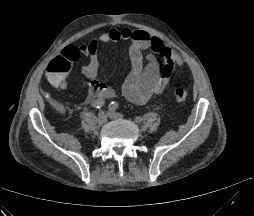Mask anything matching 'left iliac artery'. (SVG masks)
<instances>
[{"label":"left iliac artery","mask_w":254,"mask_h":216,"mask_svg":"<svg viewBox=\"0 0 254 216\" xmlns=\"http://www.w3.org/2000/svg\"><path fill=\"white\" fill-rule=\"evenodd\" d=\"M118 108H119V104L117 102L113 101L109 104V110L111 111L117 110Z\"/></svg>","instance_id":"44dca946"}]
</instances>
